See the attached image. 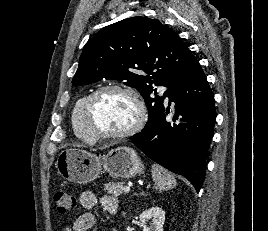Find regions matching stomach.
Returning a JSON list of instances; mask_svg holds the SVG:
<instances>
[{
	"instance_id": "stomach-1",
	"label": "stomach",
	"mask_w": 268,
	"mask_h": 231,
	"mask_svg": "<svg viewBox=\"0 0 268 231\" xmlns=\"http://www.w3.org/2000/svg\"><path fill=\"white\" fill-rule=\"evenodd\" d=\"M55 167L63 179L77 184L91 182L102 172L118 179L132 178L144 172L140 157L125 146L111 149L102 157L80 148L66 149L58 155Z\"/></svg>"
}]
</instances>
